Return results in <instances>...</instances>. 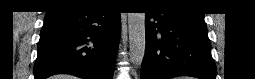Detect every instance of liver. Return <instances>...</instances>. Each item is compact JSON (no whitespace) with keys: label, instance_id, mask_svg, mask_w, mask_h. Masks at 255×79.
I'll list each match as a JSON object with an SVG mask.
<instances>
[{"label":"liver","instance_id":"obj_1","mask_svg":"<svg viewBox=\"0 0 255 79\" xmlns=\"http://www.w3.org/2000/svg\"><path fill=\"white\" fill-rule=\"evenodd\" d=\"M54 79H75L73 76L69 75H57L53 77Z\"/></svg>","mask_w":255,"mask_h":79}]
</instances>
